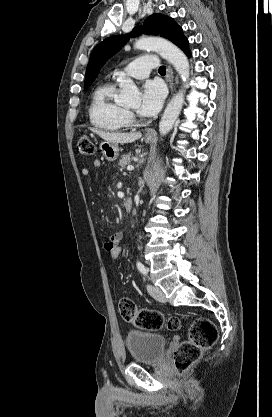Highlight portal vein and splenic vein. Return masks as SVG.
<instances>
[{
  "label": "portal vein and splenic vein",
  "mask_w": 272,
  "mask_h": 417,
  "mask_svg": "<svg viewBox=\"0 0 272 417\" xmlns=\"http://www.w3.org/2000/svg\"><path fill=\"white\" fill-rule=\"evenodd\" d=\"M133 169H134V167H133L132 165H128V166H127V170H128V171H132Z\"/></svg>",
  "instance_id": "18ae733b"
}]
</instances>
